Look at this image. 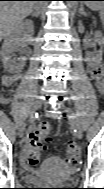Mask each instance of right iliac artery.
I'll list each match as a JSON object with an SVG mask.
<instances>
[{
	"label": "right iliac artery",
	"mask_w": 104,
	"mask_h": 189,
	"mask_svg": "<svg viewBox=\"0 0 104 189\" xmlns=\"http://www.w3.org/2000/svg\"><path fill=\"white\" fill-rule=\"evenodd\" d=\"M35 115L33 112L30 114V119H28V125H31V122H34Z\"/></svg>",
	"instance_id": "obj_1"
}]
</instances>
